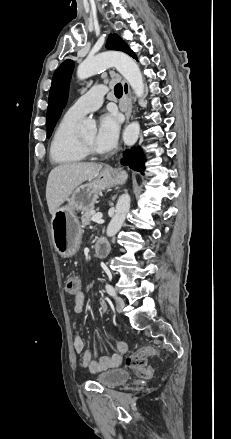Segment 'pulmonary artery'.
<instances>
[{"mask_svg": "<svg viewBox=\"0 0 231 439\" xmlns=\"http://www.w3.org/2000/svg\"><path fill=\"white\" fill-rule=\"evenodd\" d=\"M107 92L104 85H96L82 95L66 112L71 118L81 119L87 113L97 110L103 103V97Z\"/></svg>", "mask_w": 231, "mask_h": 439, "instance_id": "e3ab8cb5", "label": "pulmonary artery"}]
</instances>
